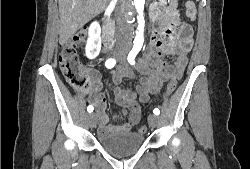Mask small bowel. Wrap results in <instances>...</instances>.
Segmentation results:
<instances>
[{
    "instance_id": "1",
    "label": "small bowel",
    "mask_w": 250,
    "mask_h": 169,
    "mask_svg": "<svg viewBox=\"0 0 250 169\" xmlns=\"http://www.w3.org/2000/svg\"><path fill=\"white\" fill-rule=\"evenodd\" d=\"M188 16L194 19L195 12ZM161 17L168 19L174 24L179 23V16L173 11H167L166 14L158 16L157 22ZM167 21L159 22L152 39L150 49L138 61L137 69L141 74L139 84L137 86V95L128 89L120 87L124 78H135V73L128 67L122 68L110 77V81L116 86L115 101L123 108V115L128 116V120L122 125H108V115L106 113L107 98L102 92V78L98 71L95 69H88L87 74L94 84L93 93L90 96V101L95 107L96 115L99 119V133L106 135L108 133H129L141 118L140 103L149 101L150 96L158 93L164 83H178L181 79L188 61V54L192 47L191 30L183 34L172 43H165L164 29L167 27ZM175 28L166 31L167 34L173 35ZM175 56V61L170 63L167 58ZM169 77H176V82H169ZM175 89V88H166Z\"/></svg>"
}]
</instances>
